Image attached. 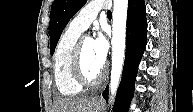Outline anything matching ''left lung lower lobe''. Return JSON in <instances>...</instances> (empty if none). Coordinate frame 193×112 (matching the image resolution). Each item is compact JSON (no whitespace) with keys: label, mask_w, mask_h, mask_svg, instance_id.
I'll use <instances>...</instances> for the list:
<instances>
[{"label":"left lung lower lobe","mask_w":193,"mask_h":112,"mask_svg":"<svg viewBox=\"0 0 193 112\" xmlns=\"http://www.w3.org/2000/svg\"><path fill=\"white\" fill-rule=\"evenodd\" d=\"M126 30L125 63L114 112H128L133 96L138 65L146 47L147 21L144 0L128 1ZM103 97L108 101V87L104 90Z\"/></svg>","instance_id":"left-lung-lower-lobe-1"}]
</instances>
